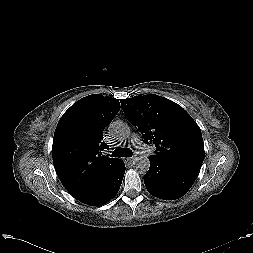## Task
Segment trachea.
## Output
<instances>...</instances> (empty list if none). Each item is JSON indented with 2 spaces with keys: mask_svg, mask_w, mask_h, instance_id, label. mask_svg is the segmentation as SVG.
I'll use <instances>...</instances> for the list:
<instances>
[{
  "mask_svg": "<svg viewBox=\"0 0 253 253\" xmlns=\"http://www.w3.org/2000/svg\"><path fill=\"white\" fill-rule=\"evenodd\" d=\"M133 155L132 151L129 148H116L112 153V157H131Z\"/></svg>",
  "mask_w": 253,
  "mask_h": 253,
  "instance_id": "trachea-1",
  "label": "trachea"
}]
</instances>
